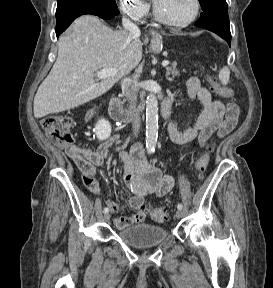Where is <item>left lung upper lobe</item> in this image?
Returning a JSON list of instances; mask_svg holds the SVG:
<instances>
[{"instance_id": "left-lung-upper-lobe-1", "label": "left lung upper lobe", "mask_w": 273, "mask_h": 288, "mask_svg": "<svg viewBox=\"0 0 273 288\" xmlns=\"http://www.w3.org/2000/svg\"><path fill=\"white\" fill-rule=\"evenodd\" d=\"M203 13L210 14L218 10L228 9L226 0H199Z\"/></svg>"}]
</instances>
